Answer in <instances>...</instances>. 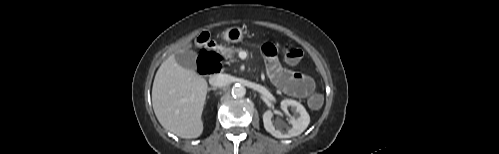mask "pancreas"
I'll list each match as a JSON object with an SVG mask.
<instances>
[{
  "label": "pancreas",
  "mask_w": 499,
  "mask_h": 154,
  "mask_svg": "<svg viewBox=\"0 0 499 154\" xmlns=\"http://www.w3.org/2000/svg\"><path fill=\"white\" fill-rule=\"evenodd\" d=\"M241 51L240 48L222 47L221 52L228 63H233L235 61L234 55Z\"/></svg>",
  "instance_id": "1"
}]
</instances>
